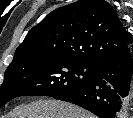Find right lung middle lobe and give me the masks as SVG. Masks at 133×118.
<instances>
[{"label":"right lung middle lobe","mask_w":133,"mask_h":118,"mask_svg":"<svg viewBox=\"0 0 133 118\" xmlns=\"http://www.w3.org/2000/svg\"><path fill=\"white\" fill-rule=\"evenodd\" d=\"M94 74L95 67L61 58L7 69L0 87V106L19 96H58L88 83Z\"/></svg>","instance_id":"dd1d6c3e"}]
</instances>
